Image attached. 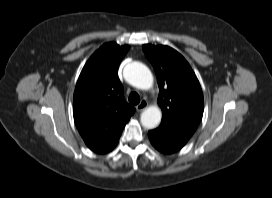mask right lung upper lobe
<instances>
[{
    "instance_id": "1",
    "label": "right lung upper lobe",
    "mask_w": 272,
    "mask_h": 198,
    "mask_svg": "<svg viewBox=\"0 0 272 198\" xmlns=\"http://www.w3.org/2000/svg\"><path fill=\"white\" fill-rule=\"evenodd\" d=\"M129 46L105 43L87 61L76 84L74 121L86 145L95 150L129 121L134 107L125 102L118 66Z\"/></svg>"
}]
</instances>
